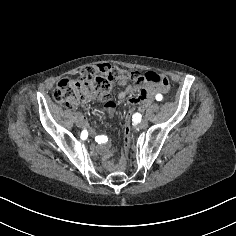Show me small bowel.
<instances>
[{"label": "small bowel", "mask_w": 236, "mask_h": 236, "mask_svg": "<svg viewBox=\"0 0 236 236\" xmlns=\"http://www.w3.org/2000/svg\"><path fill=\"white\" fill-rule=\"evenodd\" d=\"M120 83L124 85V89L119 93L118 98L122 101L132 104L137 98L143 94L142 99L138 102L145 108L151 103L152 95L156 91H167L168 86L164 87H150L145 89L141 86L142 83L126 84V80L121 79ZM105 100L104 108L105 112L111 116L114 112L115 103L107 96L103 95ZM75 120L79 127L88 128V122L81 112L75 114ZM96 149L102 155V163L104 167L110 172L122 171L125 166V159L122 158L119 161L114 159V149L109 138L104 135L96 136Z\"/></svg>", "instance_id": "c3829d8e"}]
</instances>
